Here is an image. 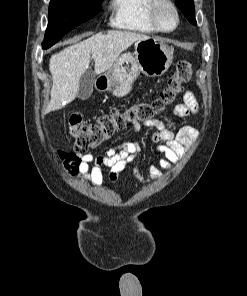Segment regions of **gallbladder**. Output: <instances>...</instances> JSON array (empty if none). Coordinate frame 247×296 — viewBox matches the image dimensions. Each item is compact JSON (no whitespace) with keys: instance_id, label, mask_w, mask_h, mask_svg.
<instances>
[{"instance_id":"bac80fb5","label":"gallbladder","mask_w":247,"mask_h":296,"mask_svg":"<svg viewBox=\"0 0 247 296\" xmlns=\"http://www.w3.org/2000/svg\"><path fill=\"white\" fill-rule=\"evenodd\" d=\"M93 85H94V73L91 70H87L80 78L78 95H77L78 98H80L81 100L88 99L92 95Z\"/></svg>"}]
</instances>
